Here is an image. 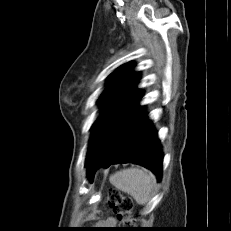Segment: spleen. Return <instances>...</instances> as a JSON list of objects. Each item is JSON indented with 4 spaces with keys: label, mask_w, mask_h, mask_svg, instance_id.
Here are the masks:
<instances>
[{
    "label": "spleen",
    "mask_w": 231,
    "mask_h": 231,
    "mask_svg": "<svg viewBox=\"0 0 231 231\" xmlns=\"http://www.w3.org/2000/svg\"><path fill=\"white\" fill-rule=\"evenodd\" d=\"M109 180L117 189L131 195L140 205L148 203L156 187L155 176L140 168L121 170L110 176Z\"/></svg>",
    "instance_id": "spleen-1"
}]
</instances>
